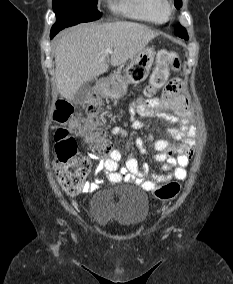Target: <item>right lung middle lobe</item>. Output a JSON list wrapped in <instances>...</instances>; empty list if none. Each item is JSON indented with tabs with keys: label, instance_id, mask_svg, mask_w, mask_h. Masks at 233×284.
<instances>
[{
	"label": "right lung middle lobe",
	"instance_id": "obj_1",
	"mask_svg": "<svg viewBox=\"0 0 233 284\" xmlns=\"http://www.w3.org/2000/svg\"><path fill=\"white\" fill-rule=\"evenodd\" d=\"M98 0H53L56 23L51 28V35H56L65 27L100 18L97 10Z\"/></svg>",
	"mask_w": 233,
	"mask_h": 284
}]
</instances>
